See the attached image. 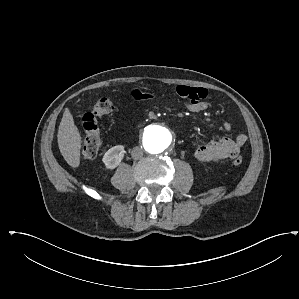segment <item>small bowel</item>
Returning <instances> with one entry per match:
<instances>
[{"label":"small bowel","instance_id":"obj_1","mask_svg":"<svg viewBox=\"0 0 299 299\" xmlns=\"http://www.w3.org/2000/svg\"><path fill=\"white\" fill-rule=\"evenodd\" d=\"M176 94L178 97L186 100L184 107L190 112L207 110L213 104V99L202 88H193L181 84L176 87ZM132 96L137 100H149L154 97L152 93L140 90H133ZM223 127L227 132H230L232 129L229 121H224ZM246 141L247 136L245 134H239L235 138H219L197 147L193 151V155L199 161L218 162L238 155Z\"/></svg>","mask_w":299,"mask_h":299}]
</instances>
